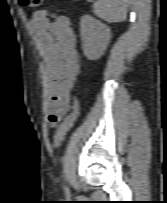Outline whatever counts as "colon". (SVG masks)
I'll list each match as a JSON object with an SVG mask.
<instances>
[{
	"label": "colon",
	"mask_w": 167,
	"mask_h": 203,
	"mask_svg": "<svg viewBox=\"0 0 167 203\" xmlns=\"http://www.w3.org/2000/svg\"><path fill=\"white\" fill-rule=\"evenodd\" d=\"M19 3L23 7H30L35 9L41 8L43 6V0H19ZM78 113H79L78 103L76 100H74L72 103L71 112L63 120V122L61 123L55 134L54 146L56 148H59L62 145L67 133L73 126L78 116Z\"/></svg>",
	"instance_id": "obj_1"
}]
</instances>
